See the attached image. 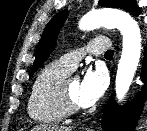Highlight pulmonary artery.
I'll return each mask as SVG.
<instances>
[{
  "label": "pulmonary artery",
  "instance_id": "e3ab8cb5",
  "mask_svg": "<svg viewBox=\"0 0 147 131\" xmlns=\"http://www.w3.org/2000/svg\"><path fill=\"white\" fill-rule=\"evenodd\" d=\"M110 42L106 38H95L81 49L69 52L63 55L58 61L70 72L75 70L77 64L86 53L98 55L106 52L109 49Z\"/></svg>",
  "mask_w": 147,
  "mask_h": 131
}]
</instances>
